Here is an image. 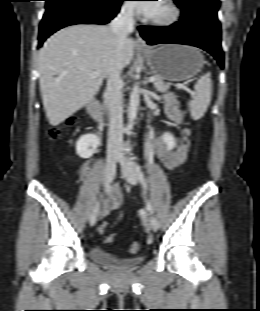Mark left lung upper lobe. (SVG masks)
<instances>
[{
    "label": "left lung upper lobe",
    "mask_w": 260,
    "mask_h": 311,
    "mask_svg": "<svg viewBox=\"0 0 260 311\" xmlns=\"http://www.w3.org/2000/svg\"><path fill=\"white\" fill-rule=\"evenodd\" d=\"M182 9V17H204L219 24V0H174Z\"/></svg>",
    "instance_id": "5c2ea615"
}]
</instances>
